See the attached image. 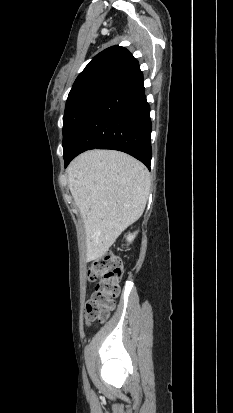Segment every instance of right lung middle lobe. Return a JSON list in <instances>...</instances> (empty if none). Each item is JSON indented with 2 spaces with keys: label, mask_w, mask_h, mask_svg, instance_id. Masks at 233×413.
<instances>
[{
  "label": "right lung middle lobe",
  "mask_w": 233,
  "mask_h": 413,
  "mask_svg": "<svg viewBox=\"0 0 233 413\" xmlns=\"http://www.w3.org/2000/svg\"><path fill=\"white\" fill-rule=\"evenodd\" d=\"M116 80L102 78L69 93L63 117V151L67 156L87 118Z\"/></svg>",
  "instance_id": "obj_1"
}]
</instances>
